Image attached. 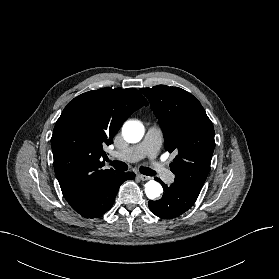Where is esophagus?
<instances>
[{
    "label": "esophagus",
    "instance_id": "esophagus-1",
    "mask_svg": "<svg viewBox=\"0 0 279 279\" xmlns=\"http://www.w3.org/2000/svg\"><path fill=\"white\" fill-rule=\"evenodd\" d=\"M138 178L143 180V181H146V180H150L151 177L149 176H146V175H142V174H138Z\"/></svg>",
    "mask_w": 279,
    "mask_h": 279
}]
</instances>
